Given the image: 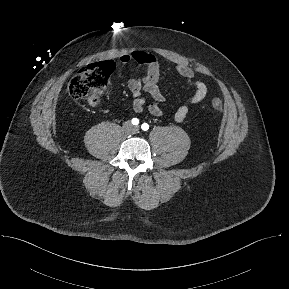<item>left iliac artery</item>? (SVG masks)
<instances>
[{"mask_svg": "<svg viewBox=\"0 0 289 289\" xmlns=\"http://www.w3.org/2000/svg\"><path fill=\"white\" fill-rule=\"evenodd\" d=\"M142 130L147 131L149 129V125L147 123H143L141 125Z\"/></svg>", "mask_w": 289, "mask_h": 289, "instance_id": "1", "label": "left iliac artery"}]
</instances>
